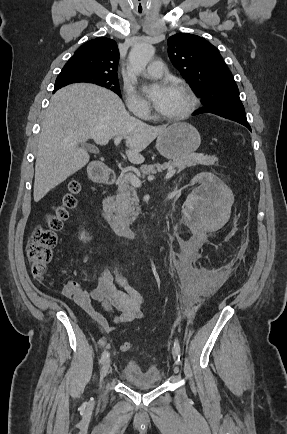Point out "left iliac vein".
Masks as SVG:
<instances>
[{
  "mask_svg": "<svg viewBox=\"0 0 287 434\" xmlns=\"http://www.w3.org/2000/svg\"><path fill=\"white\" fill-rule=\"evenodd\" d=\"M172 354H173V358H174V359H177V352H176L175 348H173ZM174 371H175V372H178V371H179V368H178V367H175Z\"/></svg>",
  "mask_w": 287,
  "mask_h": 434,
  "instance_id": "1",
  "label": "left iliac vein"
}]
</instances>
